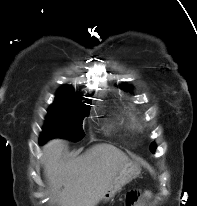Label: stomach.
<instances>
[{"label": "stomach", "instance_id": "1", "mask_svg": "<svg viewBox=\"0 0 197 206\" xmlns=\"http://www.w3.org/2000/svg\"><path fill=\"white\" fill-rule=\"evenodd\" d=\"M140 174V169L129 163L128 161L124 162L119 170L116 173L110 187L107 192L102 196V201H108L111 199L117 192H119L123 186L128 184L134 178H136Z\"/></svg>", "mask_w": 197, "mask_h": 206}]
</instances>
